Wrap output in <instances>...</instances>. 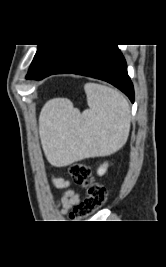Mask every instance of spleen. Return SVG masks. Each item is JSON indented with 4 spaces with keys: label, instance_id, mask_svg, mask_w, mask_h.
Instances as JSON below:
<instances>
[{
    "label": "spleen",
    "instance_id": "spleen-1",
    "mask_svg": "<svg viewBox=\"0 0 166 267\" xmlns=\"http://www.w3.org/2000/svg\"><path fill=\"white\" fill-rule=\"evenodd\" d=\"M84 89L89 109L80 113L49 103L40 115L41 142L54 165L110 155L128 139L130 107L125 97L97 83H86Z\"/></svg>",
    "mask_w": 166,
    "mask_h": 267
}]
</instances>
